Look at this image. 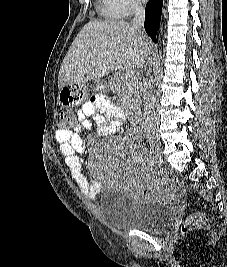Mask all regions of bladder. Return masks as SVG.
I'll list each match as a JSON object with an SVG mask.
<instances>
[{"label": "bladder", "mask_w": 227, "mask_h": 267, "mask_svg": "<svg viewBox=\"0 0 227 267\" xmlns=\"http://www.w3.org/2000/svg\"><path fill=\"white\" fill-rule=\"evenodd\" d=\"M100 209L104 220L119 230L158 231L170 225L175 213L156 200H136L116 188L102 190Z\"/></svg>", "instance_id": "1"}]
</instances>
